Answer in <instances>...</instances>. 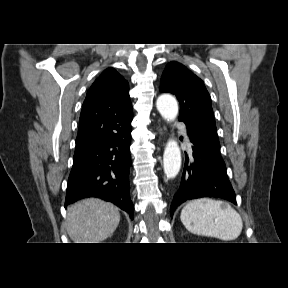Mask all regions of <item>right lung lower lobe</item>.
I'll return each mask as SVG.
<instances>
[{
	"instance_id": "obj_1",
	"label": "right lung lower lobe",
	"mask_w": 288,
	"mask_h": 288,
	"mask_svg": "<svg viewBox=\"0 0 288 288\" xmlns=\"http://www.w3.org/2000/svg\"><path fill=\"white\" fill-rule=\"evenodd\" d=\"M131 126L102 144L73 158L65 207L86 197H99L114 203L133 219L129 168Z\"/></svg>"
}]
</instances>
